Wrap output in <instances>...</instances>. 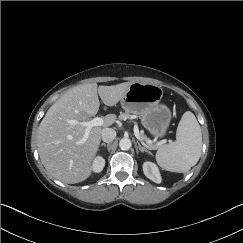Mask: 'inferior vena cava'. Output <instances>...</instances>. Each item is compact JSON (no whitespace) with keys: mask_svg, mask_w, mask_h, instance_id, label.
I'll use <instances>...</instances> for the list:
<instances>
[{"mask_svg":"<svg viewBox=\"0 0 243 243\" xmlns=\"http://www.w3.org/2000/svg\"><path fill=\"white\" fill-rule=\"evenodd\" d=\"M101 137L104 142L110 143L116 138V131L112 128H105L102 130Z\"/></svg>","mask_w":243,"mask_h":243,"instance_id":"obj_1","label":"inferior vena cava"}]
</instances>
